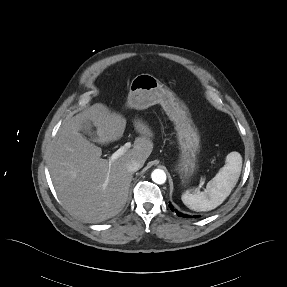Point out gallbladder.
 Instances as JSON below:
<instances>
[{
	"label": "gallbladder",
	"instance_id": "obj_1",
	"mask_svg": "<svg viewBox=\"0 0 287 287\" xmlns=\"http://www.w3.org/2000/svg\"><path fill=\"white\" fill-rule=\"evenodd\" d=\"M80 131L83 134L88 135L90 137L94 136L93 125H92L91 121H89L87 119L82 122Z\"/></svg>",
	"mask_w": 287,
	"mask_h": 287
}]
</instances>
